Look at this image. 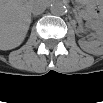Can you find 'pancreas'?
<instances>
[{
  "label": "pancreas",
  "instance_id": "pancreas-1",
  "mask_svg": "<svg viewBox=\"0 0 103 103\" xmlns=\"http://www.w3.org/2000/svg\"><path fill=\"white\" fill-rule=\"evenodd\" d=\"M77 10H78V14L80 17H82L86 20H88L90 18L89 15L84 10L81 9V7H77Z\"/></svg>",
  "mask_w": 103,
  "mask_h": 103
}]
</instances>
